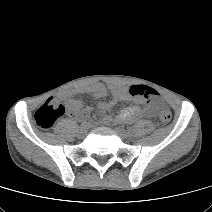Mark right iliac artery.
Returning a JSON list of instances; mask_svg holds the SVG:
<instances>
[{
	"instance_id": "82829eb1",
	"label": "right iliac artery",
	"mask_w": 212,
	"mask_h": 212,
	"mask_svg": "<svg viewBox=\"0 0 212 212\" xmlns=\"http://www.w3.org/2000/svg\"><path fill=\"white\" fill-rule=\"evenodd\" d=\"M89 123L88 122H82L80 126H87Z\"/></svg>"
}]
</instances>
